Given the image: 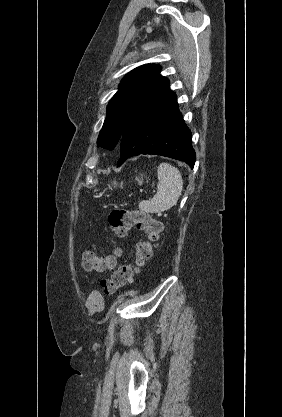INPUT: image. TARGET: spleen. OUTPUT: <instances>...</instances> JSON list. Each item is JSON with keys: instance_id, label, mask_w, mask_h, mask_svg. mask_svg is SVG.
Segmentation results:
<instances>
[{"instance_id": "1", "label": "spleen", "mask_w": 282, "mask_h": 417, "mask_svg": "<svg viewBox=\"0 0 282 417\" xmlns=\"http://www.w3.org/2000/svg\"><path fill=\"white\" fill-rule=\"evenodd\" d=\"M157 192L151 200L139 202V209L145 213H164L176 204L183 188L182 174L176 166L161 162L157 166Z\"/></svg>"}]
</instances>
